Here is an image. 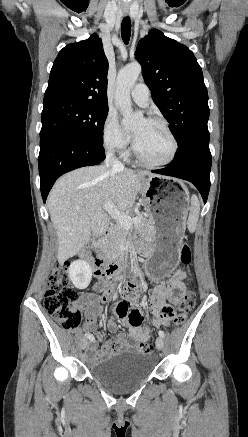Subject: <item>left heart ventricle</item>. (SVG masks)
I'll use <instances>...</instances> for the list:
<instances>
[{
	"instance_id": "1",
	"label": "left heart ventricle",
	"mask_w": 248,
	"mask_h": 437,
	"mask_svg": "<svg viewBox=\"0 0 248 437\" xmlns=\"http://www.w3.org/2000/svg\"><path fill=\"white\" fill-rule=\"evenodd\" d=\"M134 133L137 148L147 160L160 162L168 158L172 142L161 125L141 120L135 125Z\"/></svg>"
}]
</instances>
